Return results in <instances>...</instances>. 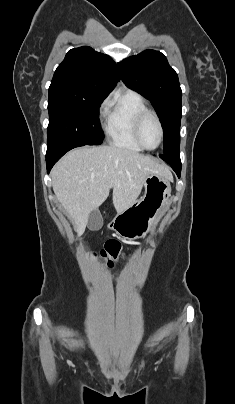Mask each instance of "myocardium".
Returning a JSON list of instances; mask_svg holds the SVG:
<instances>
[{
    "instance_id": "f54148a6",
    "label": "myocardium",
    "mask_w": 235,
    "mask_h": 404,
    "mask_svg": "<svg viewBox=\"0 0 235 404\" xmlns=\"http://www.w3.org/2000/svg\"><path fill=\"white\" fill-rule=\"evenodd\" d=\"M149 116L153 117V118L156 120V122H157V124H158V127H159V132H160L159 142H158V144H157L155 147H152V148L147 147V146L144 145V143L142 142V139H141V135H140L141 126H142L144 120H145L147 117H149ZM133 134H134V137H135V140L137 141V143H138L144 150L152 151V150H156L157 148H159V146H160V145L162 144V142H163V138H164V128H163V124H162L161 119H160V117L158 116V114L155 113L154 111H151V110H145V111L141 112V113L136 117V119H135V121H134Z\"/></svg>"
}]
</instances>
